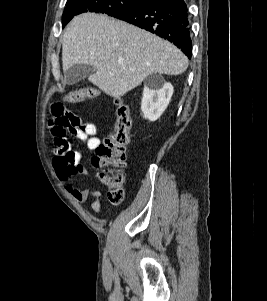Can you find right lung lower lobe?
Segmentation results:
<instances>
[{"instance_id": "obj_1", "label": "right lung lower lobe", "mask_w": 267, "mask_h": 301, "mask_svg": "<svg viewBox=\"0 0 267 301\" xmlns=\"http://www.w3.org/2000/svg\"><path fill=\"white\" fill-rule=\"evenodd\" d=\"M114 17L172 42L191 58V31L184 0H149Z\"/></svg>"}]
</instances>
